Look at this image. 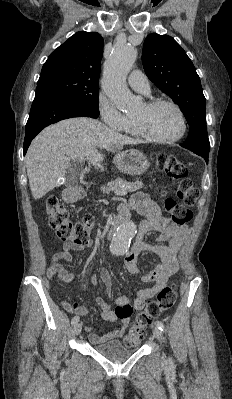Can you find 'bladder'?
<instances>
[{"instance_id": "obj_1", "label": "bladder", "mask_w": 232, "mask_h": 399, "mask_svg": "<svg viewBox=\"0 0 232 399\" xmlns=\"http://www.w3.org/2000/svg\"><path fill=\"white\" fill-rule=\"evenodd\" d=\"M93 349L101 356L112 361L124 360L135 352L134 349L126 347L118 340H111L98 344L94 346Z\"/></svg>"}]
</instances>
